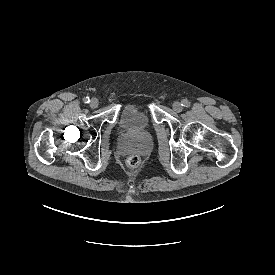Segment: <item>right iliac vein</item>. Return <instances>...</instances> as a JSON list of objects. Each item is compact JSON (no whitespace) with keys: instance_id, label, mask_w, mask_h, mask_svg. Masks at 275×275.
Here are the masks:
<instances>
[{"instance_id":"1","label":"right iliac vein","mask_w":275,"mask_h":275,"mask_svg":"<svg viewBox=\"0 0 275 275\" xmlns=\"http://www.w3.org/2000/svg\"><path fill=\"white\" fill-rule=\"evenodd\" d=\"M98 104H99V102H98V100L96 98H93L90 101V107L93 108V109L97 108Z\"/></svg>"}]
</instances>
